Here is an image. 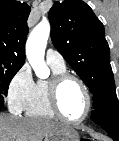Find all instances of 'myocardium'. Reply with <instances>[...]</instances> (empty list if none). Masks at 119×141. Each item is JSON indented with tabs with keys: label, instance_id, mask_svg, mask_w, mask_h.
<instances>
[{
	"label": "myocardium",
	"instance_id": "1",
	"mask_svg": "<svg viewBox=\"0 0 119 141\" xmlns=\"http://www.w3.org/2000/svg\"><path fill=\"white\" fill-rule=\"evenodd\" d=\"M69 80H73L81 86L86 98V110L84 114L78 119H71L66 117L63 114L59 104L60 89L63 86V84ZM47 93H48V101L53 113L55 114V116L59 117L60 119L64 121H67L70 123H81L87 119V117L89 116L91 112L92 99H91L90 91L87 85L85 84V82L74 74H71L69 72H64V73L53 75L52 78L49 80Z\"/></svg>",
	"mask_w": 119,
	"mask_h": 141
}]
</instances>
